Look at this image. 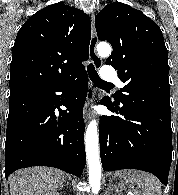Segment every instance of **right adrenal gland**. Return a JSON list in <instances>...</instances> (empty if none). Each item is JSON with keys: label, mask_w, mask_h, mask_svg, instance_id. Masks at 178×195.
Instances as JSON below:
<instances>
[{"label": "right adrenal gland", "mask_w": 178, "mask_h": 195, "mask_svg": "<svg viewBox=\"0 0 178 195\" xmlns=\"http://www.w3.org/2000/svg\"><path fill=\"white\" fill-rule=\"evenodd\" d=\"M68 184H69V183H68V181H67V179H66V180H65V184H63L60 188L63 189L64 186H68Z\"/></svg>", "instance_id": "2a0ac1e0"}]
</instances>
